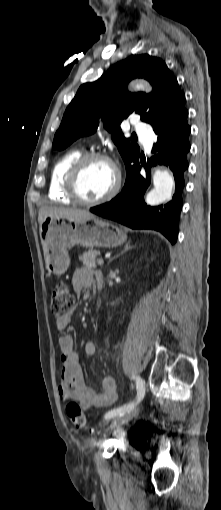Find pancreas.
<instances>
[{
  "instance_id": "obj_1",
  "label": "pancreas",
  "mask_w": 221,
  "mask_h": 510,
  "mask_svg": "<svg viewBox=\"0 0 221 510\" xmlns=\"http://www.w3.org/2000/svg\"><path fill=\"white\" fill-rule=\"evenodd\" d=\"M100 255V251L97 250H89L84 252L79 256L80 261H82L83 265L90 269L97 268L96 257Z\"/></svg>"
}]
</instances>
